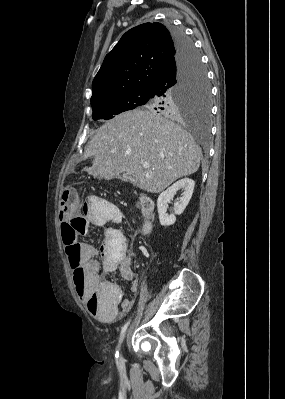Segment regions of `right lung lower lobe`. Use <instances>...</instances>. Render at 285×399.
<instances>
[{
    "label": "right lung lower lobe",
    "instance_id": "obj_1",
    "mask_svg": "<svg viewBox=\"0 0 285 399\" xmlns=\"http://www.w3.org/2000/svg\"><path fill=\"white\" fill-rule=\"evenodd\" d=\"M170 32L175 43L176 55L152 82L150 91L156 95L166 96L167 91L180 82L186 69L197 57L194 44L183 30L172 27ZM166 103L170 105V102Z\"/></svg>",
    "mask_w": 285,
    "mask_h": 399
}]
</instances>
